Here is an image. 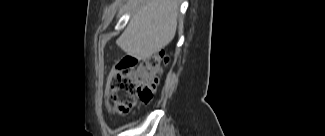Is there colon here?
<instances>
[{
    "label": "colon",
    "instance_id": "colon-1",
    "mask_svg": "<svg viewBox=\"0 0 325 136\" xmlns=\"http://www.w3.org/2000/svg\"><path fill=\"white\" fill-rule=\"evenodd\" d=\"M168 62L164 51L143 60L118 81L111 92L114 111L129 114L138 103H148L160 82L163 66Z\"/></svg>",
    "mask_w": 325,
    "mask_h": 136
}]
</instances>
